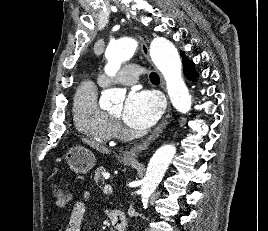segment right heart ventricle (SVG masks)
Masks as SVG:
<instances>
[{
    "label": "right heart ventricle",
    "mask_w": 268,
    "mask_h": 231,
    "mask_svg": "<svg viewBox=\"0 0 268 231\" xmlns=\"http://www.w3.org/2000/svg\"><path fill=\"white\" fill-rule=\"evenodd\" d=\"M99 82H82L75 93L72 112L76 129L88 139L108 143L115 137V122L97 102Z\"/></svg>",
    "instance_id": "1"
}]
</instances>
